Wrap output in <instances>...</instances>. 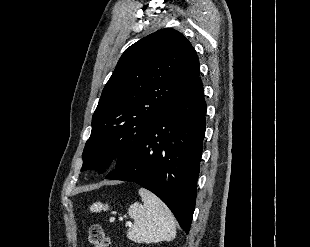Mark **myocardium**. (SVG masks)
Segmentation results:
<instances>
[{"instance_id": "1", "label": "myocardium", "mask_w": 310, "mask_h": 247, "mask_svg": "<svg viewBox=\"0 0 310 247\" xmlns=\"http://www.w3.org/2000/svg\"><path fill=\"white\" fill-rule=\"evenodd\" d=\"M118 156V151L115 149H108L105 153H104V157L105 159L112 161L114 159H116V157Z\"/></svg>"}]
</instances>
